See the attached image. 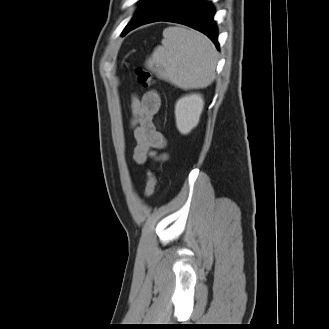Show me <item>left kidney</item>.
I'll list each match as a JSON object with an SVG mask.
<instances>
[{
	"label": "left kidney",
	"instance_id": "5707ae66",
	"mask_svg": "<svg viewBox=\"0 0 329 329\" xmlns=\"http://www.w3.org/2000/svg\"><path fill=\"white\" fill-rule=\"evenodd\" d=\"M203 107L204 100L196 93L186 95L176 102V126L181 134L187 135L198 125Z\"/></svg>",
	"mask_w": 329,
	"mask_h": 329
}]
</instances>
